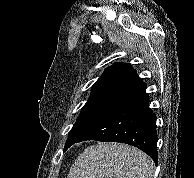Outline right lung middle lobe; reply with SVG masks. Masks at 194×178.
Here are the masks:
<instances>
[{"mask_svg": "<svg viewBox=\"0 0 194 178\" xmlns=\"http://www.w3.org/2000/svg\"><path fill=\"white\" fill-rule=\"evenodd\" d=\"M123 103L111 100H88L69 132L64 150L73 145L88 130L117 110Z\"/></svg>", "mask_w": 194, "mask_h": 178, "instance_id": "1", "label": "right lung middle lobe"}]
</instances>
